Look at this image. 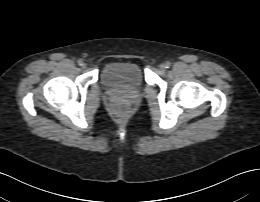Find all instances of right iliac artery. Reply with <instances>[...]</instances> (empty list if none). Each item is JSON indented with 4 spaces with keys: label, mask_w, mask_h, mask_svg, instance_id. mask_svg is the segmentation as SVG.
<instances>
[{
    "label": "right iliac artery",
    "mask_w": 260,
    "mask_h": 202,
    "mask_svg": "<svg viewBox=\"0 0 260 202\" xmlns=\"http://www.w3.org/2000/svg\"><path fill=\"white\" fill-rule=\"evenodd\" d=\"M77 63H78V65H79V66H82V64H83V61L80 59V60H78V62H77Z\"/></svg>",
    "instance_id": "1"
}]
</instances>
